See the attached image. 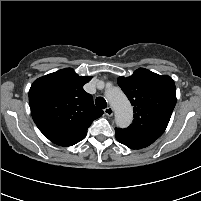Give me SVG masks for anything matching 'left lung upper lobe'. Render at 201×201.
Segmentation results:
<instances>
[{
    "label": "left lung upper lobe",
    "instance_id": "1",
    "mask_svg": "<svg viewBox=\"0 0 201 201\" xmlns=\"http://www.w3.org/2000/svg\"><path fill=\"white\" fill-rule=\"evenodd\" d=\"M118 85L134 107L133 123L125 134L158 139L165 131L176 104L173 79L139 68L132 76L119 77Z\"/></svg>",
    "mask_w": 201,
    "mask_h": 201
}]
</instances>
